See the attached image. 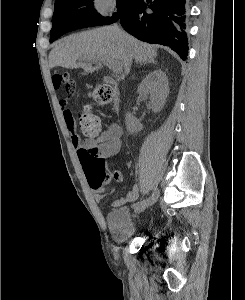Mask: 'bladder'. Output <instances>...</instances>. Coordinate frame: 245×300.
Returning <instances> with one entry per match:
<instances>
[{
    "label": "bladder",
    "instance_id": "obj_1",
    "mask_svg": "<svg viewBox=\"0 0 245 300\" xmlns=\"http://www.w3.org/2000/svg\"><path fill=\"white\" fill-rule=\"evenodd\" d=\"M112 239L116 243H125L143 233V226L131 214L128 206L123 205L110 210L106 217Z\"/></svg>",
    "mask_w": 245,
    "mask_h": 300
}]
</instances>
